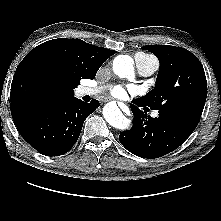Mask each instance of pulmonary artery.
I'll return each instance as SVG.
<instances>
[{"instance_id":"pulmonary-artery-1","label":"pulmonary artery","mask_w":221,"mask_h":221,"mask_svg":"<svg viewBox=\"0 0 221 221\" xmlns=\"http://www.w3.org/2000/svg\"><path fill=\"white\" fill-rule=\"evenodd\" d=\"M135 65L139 75L147 77L151 76L158 69V61L154 57H144L140 54L135 55ZM102 87L89 88L83 87L81 89L82 95H94L102 91ZM153 116H157V113H154Z\"/></svg>"}]
</instances>
